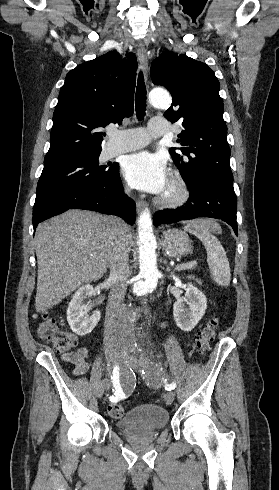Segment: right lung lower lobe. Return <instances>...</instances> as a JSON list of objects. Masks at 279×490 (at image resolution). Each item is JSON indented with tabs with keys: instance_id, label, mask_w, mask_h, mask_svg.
<instances>
[{
	"instance_id": "obj_1",
	"label": "right lung lower lobe",
	"mask_w": 279,
	"mask_h": 490,
	"mask_svg": "<svg viewBox=\"0 0 279 490\" xmlns=\"http://www.w3.org/2000/svg\"><path fill=\"white\" fill-rule=\"evenodd\" d=\"M68 209L92 210L135 222V203L124 194L117 172L111 180L70 186H50L37 191L33 207L34 231L38 223Z\"/></svg>"
}]
</instances>
